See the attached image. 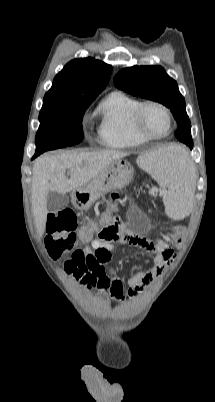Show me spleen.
Segmentation results:
<instances>
[{"mask_svg":"<svg viewBox=\"0 0 215 402\" xmlns=\"http://www.w3.org/2000/svg\"><path fill=\"white\" fill-rule=\"evenodd\" d=\"M137 161L158 183L166 186L162 203L166 213L175 219L191 215L190 197H194L197 190L195 178H199V169H193L184 144L173 143Z\"/></svg>","mask_w":215,"mask_h":402,"instance_id":"3e777b00","label":"spleen"}]
</instances>
